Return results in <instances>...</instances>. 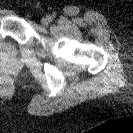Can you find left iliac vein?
Listing matches in <instances>:
<instances>
[{
  "instance_id": "obj_1",
  "label": "left iliac vein",
  "mask_w": 133,
  "mask_h": 133,
  "mask_svg": "<svg viewBox=\"0 0 133 133\" xmlns=\"http://www.w3.org/2000/svg\"><path fill=\"white\" fill-rule=\"evenodd\" d=\"M49 22H50L49 16L44 17V18L41 19V24L43 26H47L49 24Z\"/></svg>"
}]
</instances>
